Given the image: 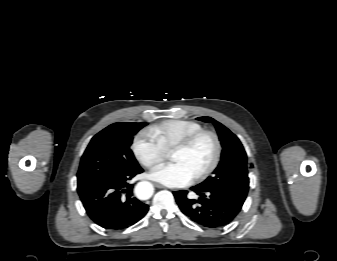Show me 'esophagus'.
<instances>
[{
  "label": "esophagus",
  "mask_w": 337,
  "mask_h": 261,
  "mask_svg": "<svg viewBox=\"0 0 337 261\" xmlns=\"http://www.w3.org/2000/svg\"><path fill=\"white\" fill-rule=\"evenodd\" d=\"M155 187L159 188V189H164L165 187L159 183H155Z\"/></svg>",
  "instance_id": "1"
}]
</instances>
